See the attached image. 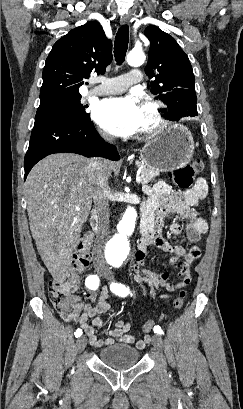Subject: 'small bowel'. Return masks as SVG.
I'll return each mask as SVG.
<instances>
[{
    "label": "small bowel",
    "instance_id": "c3829d8e",
    "mask_svg": "<svg viewBox=\"0 0 243 409\" xmlns=\"http://www.w3.org/2000/svg\"><path fill=\"white\" fill-rule=\"evenodd\" d=\"M207 192V183L202 178L198 179L192 188L185 191H175L162 181L157 182L154 187L148 189L149 197L143 210H150L153 214L156 212V220L150 236L142 238L138 244L132 270L133 279L139 284L143 296L149 294L154 298L156 291L159 289H165L169 293H173L190 283L191 263L201 256L202 248L192 246L186 250L180 245H173L162 237L161 231L165 216L175 213L187 221L188 240L192 243L199 242L207 232L208 225L205 218L200 216L193 207L206 197ZM170 231L174 235H179L182 232V227L178 223H172ZM154 248L173 254L170 264L178 268L180 282L175 283L170 280L169 275L165 272H157L145 267V259L151 255ZM169 296V294H165L161 298H168ZM73 301L77 312L74 319L79 322L92 346L100 348L114 343H135L138 349H143L149 343L150 336L147 334L136 341L135 336L129 334L131 325L126 321H117L114 327L108 330V338L100 339L97 337V329L104 325L102 318L98 315L114 312L110 294L106 288L101 290L94 306L87 302H81V299L77 296L73 298ZM90 319L92 320L91 324L89 323Z\"/></svg>",
    "mask_w": 243,
    "mask_h": 409
}]
</instances>
